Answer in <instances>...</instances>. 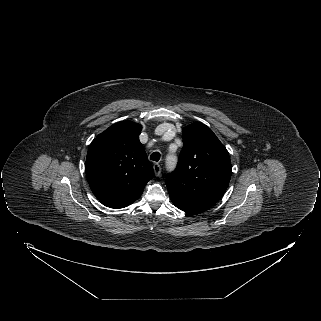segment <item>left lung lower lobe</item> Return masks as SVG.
<instances>
[{
  "label": "left lung lower lobe",
  "instance_id": "obj_1",
  "mask_svg": "<svg viewBox=\"0 0 321 321\" xmlns=\"http://www.w3.org/2000/svg\"><path fill=\"white\" fill-rule=\"evenodd\" d=\"M173 204L179 208L180 210L188 213V214H192V215H195V214H199V213H202V212H205L206 210L209 209V207H205V206H200V205H193V204H189V203H185V202H181V201H178L172 197H170Z\"/></svg>",
  "mask_w": 321,
  "mask_h": 321
}]
</instances>
